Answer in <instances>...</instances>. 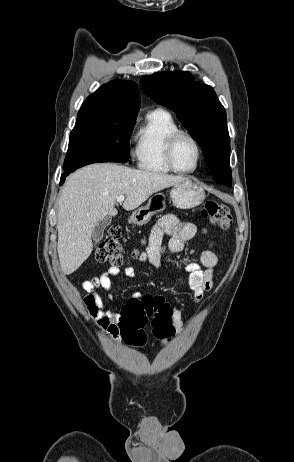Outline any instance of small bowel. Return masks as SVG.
<instances>
[{
	"mask_svg": "<svg viewBox=\"0 0 294 462\" xmlns=\"http://www.w3.org/2000/svg\"><path fill=\"white\" fill-rule=\"evenodd\" d=\"M171 236L168 245L163 244V235ZM196 234V226L187 221H182L172 214H166L160 218L153 228L148 246L140 255V261L148 262L155 268L161 267V258L163 255L175 254L182 252L185 242L192 239ZM214 246L213 243H211ZM217 256L212 250H205L200 255V262H190L185 265L186 278L188 287L191 291L192 298L199 302L206 291L213 286L214 268L217 264ZM120 273V269L111 266L99 276L93 277L82 283V289L85 291L84 304L91 317L96 321L98 327L116 343L124 341L122 336L119 320L120 312L106 305L102 293H107V299L113 300L109 291L112 288V278ZM124 275L129 278L136 276V270L133 266H128L124 270ZM172 323L177 331H182L184 322L181 311L172 308Z\"/></svg>",
	"mask_w": 294,
	"mask_h": 462,
	"instance_id": "c3829d8e",
	"label": "small bowel"
}]
</instances>
